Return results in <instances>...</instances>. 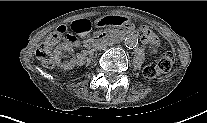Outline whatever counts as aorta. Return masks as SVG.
I'll return each instance as SVG.
<instances>
[{"mask_svg":"<svg viewBox=\"0 0 207 123\" xmlns=\"http://www.w3.org/2000/svg\"><path fill=\"white\" fill-rule=\"evenodd\" d=\"M138 43V39H137V36L134 35V34H128L126 37H125V45L127 47H134L136 46V44Z\"/></svg>","mask_w":207,"mask_h":123,"instance_id":"762f6f07","label":"aorta"}]
</instances>
